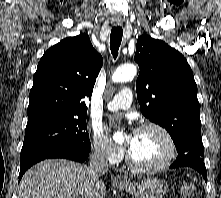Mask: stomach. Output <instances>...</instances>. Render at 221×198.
<instances>
[{"label":"stomach","instance_id":"stomach-1","mask_svg":"<svg viewBox=\"0 0 221 198\" xmlns=\"http://www.w3.org/2000/svg\"><path fill=\"white\" fill-rule=\"evenodd\" d=\"M118 186L134 195L135 198H163L166 193L163 183L155 178H147L140 182H126Z\"/></svg>","mask_w":221,"mask_h":198}]
</instances>
